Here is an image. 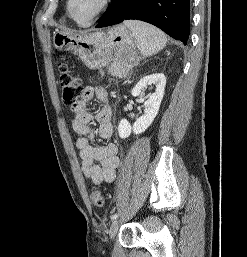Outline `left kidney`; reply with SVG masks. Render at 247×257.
I'll list each match as a JSON object with an SVG mask.
<instances>
[{
    "label": "left kidney",
    "mask_w": 247,
    "mask_h": 257,
    "mask_svg": "<svg viewBox=\"0 0 247 257\" xmlns=\"http://www.w3.org/2000/svg\"><path fill=\"white\" fill-rule=\"evenodd\" d=\"M148 86L151 88L154 87L155 91L149 94L148 99L144 102V114L135 121L133 126H131L126 119H122L118 126L120 138L125 139L129 137L132 132L136 135L143 133L157 116L165 93L166 78L164 74L155 73L143 77L132 89V96L143 95Z\"/></svg>",
    "instance_id": "obj_1"
}]
</instances>
